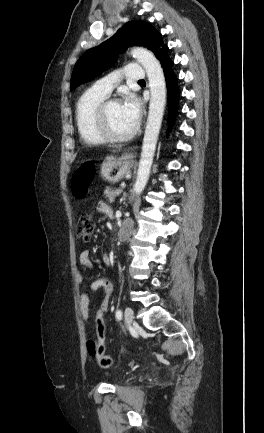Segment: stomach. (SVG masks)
<instances>
[{
  "mask_svg": "<svg viewBox=\"0 0 264 433\" xmlns=\"http://www.w3.org/2000/svg\"><path fill=\"white\" fill-rule=\"evenodd\" d=\"M133 166V156L126 153L116 159L108 156L101 164V177L103 180L115 184L118 183Z\"/></svg>",
  "mask_w": 264,
  "mask_h": 433,
  "instance_id": "obj_1",
  "label": "stomach"
}]
</instances>
